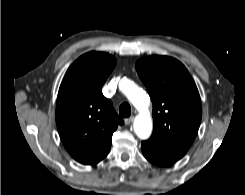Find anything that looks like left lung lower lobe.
<instances>
[{
  "label": "left lung lower lobe",
  "instance_id": "1",
  "mask_svg": "<svg viewBox=\"0 0 245 195\" xmlns=\"http://www.w3.org/2000/svg\"><path fill=\"white\" fill-rule=\"evenodd\" d=\"M142 153L151 163L158 166H169L181 159L189 148L163 141L162 139L151 136L147 141H143Z\"/></svg>",
  "mask_w": 245,
  "mask_h": 195
}]
</instances>
